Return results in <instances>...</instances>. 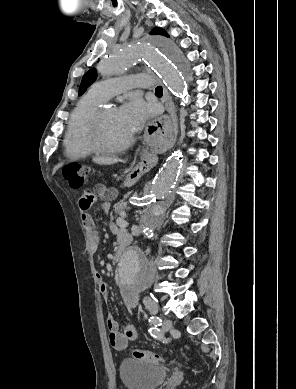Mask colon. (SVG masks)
<instances>
[{"label":"colon","mask_w":296,"mask_h":389,"mask_svg":"<svg viewBox=\"0 0 296 389\" xmlns=\"http://www.w3.org/2000/svg\"><path fill=\"white\" fill-rule=\"evenodd\" d=\"M87 174L86 166L79 163H71L63 168V176L69 186L74 189L81 188ZM132 356L141 362L156 364L162 361V356L151 350L134 349L131 352Z\"/></svg>","instance_id":"colon-1"}]
</instances>
